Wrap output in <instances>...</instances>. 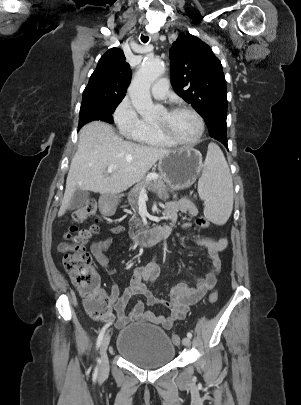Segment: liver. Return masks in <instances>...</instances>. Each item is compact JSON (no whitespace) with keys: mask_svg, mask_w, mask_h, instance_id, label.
I'll return each instance as SVG.
<instances>
[{"mask_svg":"<svg viewBox=\"0 0 301 405\" xmlns=\"http://www.w3.org/2000/svg\"><path fill=\"white\" fill-rule=\"evenodd\" d=\"M170 151L126 141L111 125L102 121L86 124L79 132L77 151L70 164L58 216L65 214L76 189L100 194L123 192L141 181ZM110 165L115 166L111 172L108 170ZM106 170L109 175L104 174Z\"/></svg>","mask_w":301,"mask_h":405,"instance_id":"liver-1","label":"liver"}]
</instances>
